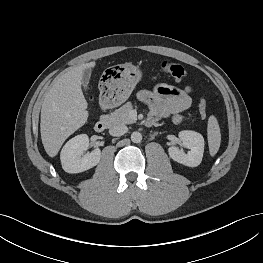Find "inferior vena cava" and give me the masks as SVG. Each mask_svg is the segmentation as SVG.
<instances>
[{
  "instance_id": "obj_1",
  "label": "inferior vena cava",
  "mask_w": 263,
  "mask_h": 263,
  "mask_svg": "<svg viewBox=\"0 0 263 263\" xmlns=\"http://www.w3.org/2000/svg\"><path fill=\"white\" fill-rule=\"evenodd\" d=\"M127 132H128L127 126L123 124L114 125L109 130V133L112 136H122Z\"/></svg>"
}]
</instances>
